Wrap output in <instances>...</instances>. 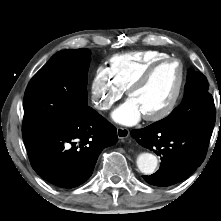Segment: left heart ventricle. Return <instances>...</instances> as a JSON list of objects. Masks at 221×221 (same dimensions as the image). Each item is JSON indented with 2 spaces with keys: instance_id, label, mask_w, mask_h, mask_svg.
Wrapping results in <instances>:
<instances>
[{
  "instance_id": "left-heart-ventricle-1",
  "label": "left heart ventricle",
  "mask_w": 221,
  "mask_h": 221,
  "mask_svg": "<svg viewBox=\"0 0 221 221\" xmlns=\"http://www.w3.org/2000/svg\"><path fill=\"white\" fill-rule=\"evenodd\" d=\"M180 69L176 63L160 67L150 80L135 91L132 98L139 106L143 116L161 111L170 102L177 89Z\"/></svg>"
}]
</instances>
